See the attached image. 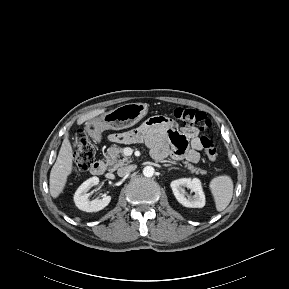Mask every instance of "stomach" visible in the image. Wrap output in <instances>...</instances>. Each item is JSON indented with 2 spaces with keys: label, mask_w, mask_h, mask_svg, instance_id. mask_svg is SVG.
I'll use <instances>...</instances> for the list:
<instances>
[{
  "label": "stomach",
  "mask_w": 289,
  "mask_h": 289,
  "mask_svg": "<svg viewBox=\"0 0 289 289\" xmlns=\"http://www.w3.org/2000/svg\"><path fill=\"white\" fill-rule=\"evenodd\" d=\"M148 113L145 103H128L111 110L102 116L89 120L86 130L90 136L96 137L103 131L122 130L134 126Z\"/></svg>",
  "instance_id": "1"
}]
</instances>
